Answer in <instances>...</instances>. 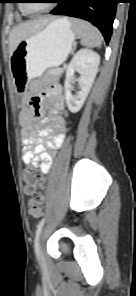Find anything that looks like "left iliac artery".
I'll return each mask as SVG.
<instances>
[{
  "label": "left iliac artery",
  "mask_w": 136,
  "mask_h": 296,
  "mask_svg": "<svg viewBox=\"0 0 136 296\" xmlns=\"http://www.w3.org/2000/svg\"><path fill=\"white\" fill-rule=\"evenodd\" d=\"M44 221H45V219L42 218L41 221L39 222V224L37 225V230H36V234H35L34 246H35V252H36L37 257H38V251H39V236H40L42 227L44 225Z\"/></svg>",
  "instance_id": "1"
}]
</instances>
